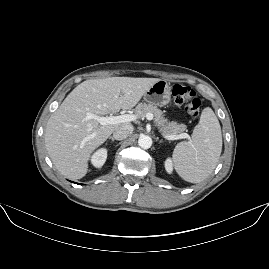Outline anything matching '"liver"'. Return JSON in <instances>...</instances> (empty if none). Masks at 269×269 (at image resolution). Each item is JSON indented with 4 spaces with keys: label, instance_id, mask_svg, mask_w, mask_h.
I'll list each match as a JSON object with an SVG mask.
<instances>
[{
    "label": "liver",
    "instance_id": "liver-1",
    "mask_svg": "<svg viewBox=\"0 0 269 269\" xmlns=\"http://www.w3.org/2000/svg\"><path fill=\"white\" fill-rule=\"evenodd\" d=\"M158 78L108 77L77 85L51 114L45 129V146L53 164L70 179L89 171L92 154L114 131L131 122L99 123L101 116L134 108ZM87 112L96 117L84 121Z\"/></svg>",
    "mask_w": 269,
    "mask_h": 269
}]
</instances>
